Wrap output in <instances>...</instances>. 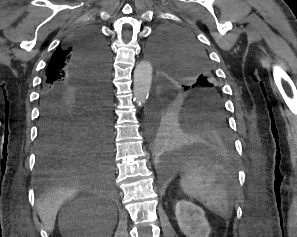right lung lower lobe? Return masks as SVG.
Listing matches in <instances>:
<instances>
[{
  "instance_id": "obj_1",
  "label": "right lung lower lobe",
  "mask_w": 297,
  "mask_h": 237,
  "mask_svg": "<svg viewBox=\"0 0 297 237\" xmlns=\"http://www.w3.org/2000/svg\"><path fill=\"white\" fill-rule=\"evenodd\" d=\"M71 70L80 87L43 89L38 127L37 171L110 174L113 147L109 113V51L93 27L76 32Z\"/></svg>"
}]
</instances>
